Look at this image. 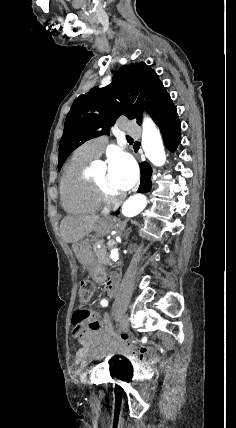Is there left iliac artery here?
Listing matches in <instances>:
<instances>
[{"label":"left iliac artery","mask_w":236,"mask_h":428,"mask_svg":"<svg viewBox=\"0 0 236 428\" xmlns=\"http://www.w3.org/2000/svg\"><path fill=\"white\" fill-rule=\"evenodd\" d=\"M101 305L104 307V306H107L108 305V301L107 300H102L101 301Z\"/></svg>","instance_id":"left-iliac-artery-1"}]
</instances>
